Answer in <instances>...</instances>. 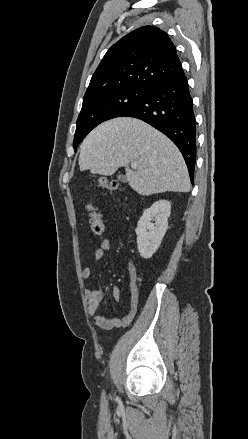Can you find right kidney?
<instances>
[{"instance_id": "ca27d5eb", "label": "right kidney", "mask_w": 248, "mask_h": 439, "mask_svg": "<svg viewBox=\"0 0 248 439\" xmlns=\"http://www.w3.org/2000/svg\"><path fill=\"white\" fill-rule=\"evenodd\" d=\"M170 213L171 203L167 200H159L144 211L135 230L137 248L142 258H151L160 246L168 229Z\"/></svg>"}]
</instances>
